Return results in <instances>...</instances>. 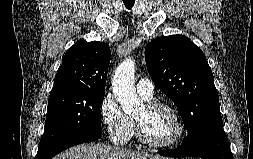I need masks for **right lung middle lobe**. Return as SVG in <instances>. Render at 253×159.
I'll list each match as a JSON object with an SVG mask.
<instances>
[{
  "mask_svg": "<svg viewBox=\"0 0 253 159\" xmlns=\"http://www.w3.org/2000/svg\"><path fill=\"white\" fill-rule=\"evenodd\" d=\"M105 92H81L48 99L45 132L38 152L79 131H100V107Z\"/></svg>",
  "mask_w": 253,
  "mask_h": 159,
  "instance_id": "right-lung-middle-lobe-1",
  "label": "right lung middle lobe"
}]
</instances>
